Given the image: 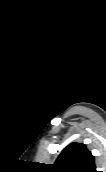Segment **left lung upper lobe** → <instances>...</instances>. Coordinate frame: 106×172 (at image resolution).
Returning <instances> with one entry per match:
<instances>
[{"label":"left lung upper lobe","instance_id":"left-lung-upper-lobe-1","mask_svg":"<svg viewBox=\"0 0 106 172\" xmlns=\"http://www.w3.org/2000/svg\"><path fill=\"white\" fill-rule=\"evenodd\" d=\"M55 172H97L94 157L81 143L68 145L53 165Z\"/></svg>","mask_w":106,"mask_h":172}]
</instances>
